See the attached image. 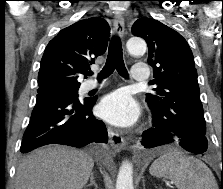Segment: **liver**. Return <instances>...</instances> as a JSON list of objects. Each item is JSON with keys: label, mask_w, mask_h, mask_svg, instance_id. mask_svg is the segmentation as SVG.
I'll return each mask as SVG.
<instances>
[{"label": "liver", "mask_w": 223, "mask_h": 189, "mask_svg": "<svg viewBox=\"0 0 223 189\" xmlns=\"http://www.w3.org/2000/svg\"><path fill=\"white\" fill-rule=\"evenodd\" d=\"M94 167L84 151L66 146L34 150L19 164L15 189H82Z\"/></svg>", "instance_id": "obj_1"}]
</instances>
